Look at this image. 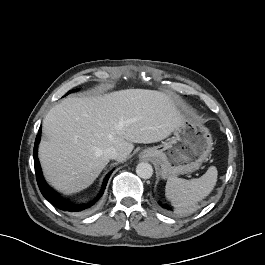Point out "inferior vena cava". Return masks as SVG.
Returning <instances> with one entry per match:
<instances>
[{"instance_id":"obj_1","label":"inferior vena cava","mask_w":265,"mask_h":265,"mask_svg":"<svg viewBox=\"0 0 265 265\" xmlns=\"http://www.w3.org/2000/svg\"><path fill=\"white\" fill-rule=\"evenodd\" d=\"M104 156L108 159H117L119 156L118 151L114 147H109L104 150Z\"/></svg>"}]
</instances>
